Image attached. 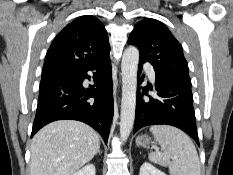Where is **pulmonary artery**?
<instances>
[{"mask_svg":"<svg viewBox=\"0 0 233 175\" xmlns=\"http://www.w3.org/2000/svg\"><path fill=\"white\" fill-rule=\"evenodd\" d=\"M147 72L151 80H155V72L152 68L147 67Z\"/></svg>","mask_w":233,"mask_h":175,"instance_id":"1","label":"pulmonary artery"}]
</instances>
